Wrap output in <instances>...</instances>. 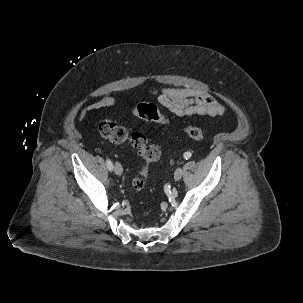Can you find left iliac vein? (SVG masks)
Segmentation results:
<instances>
[{"label":"left iliac vein","instance_id":"obj_1","mask_svg":"<svg viewBox=\"0 0 303 303\" xmlns=\"http://www.w3.org/2000/svg\"><path fill=\"white\" fill-rule=\"evenodd\" d=\"M183 169L182 168H177L174 172V179L175 181H179L182 178L183 175Z\"/></svg>","mask_w":303,"mask_h":303}]
</instances>
